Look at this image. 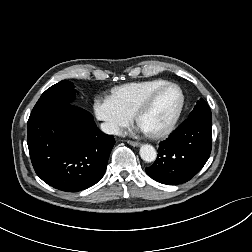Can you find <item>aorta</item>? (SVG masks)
<instances>
[{"label":"aorta","mask_w":252,"mask_h":252,"mask_svg":"<svg viewBox=\"0 0 252 252\" xmlns=\"http://www.w3.org/2000/svg\"><path fill=\"white\" fill-rule=\"evenodd\" d=\"M140 157L145 162H153L157 157V152L152 145L144 144L140 147L139 151Z\"/></svg>","instance_id":"1"}]
</instances>
